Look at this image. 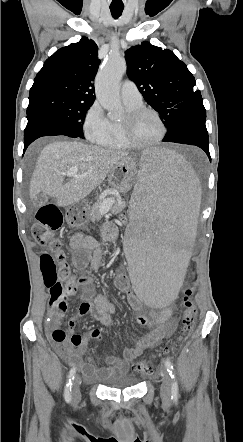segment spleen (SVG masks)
<instances>
[{
  "mask_svg": "<svg viewBox=\"0 0 243 442\" xmlns=\"http://www.w3.org/2000/svg\"><path fill=\"white\" fill-rule=\"evenodd\" d=\"M130 193L128 279L145 307H167L180 293L198 225L201 179L183 157L165 147H142Z\"/></svg>",
  "mask_w": 243,
  "mask_h": 442,
  "instance_id": "3e777b00",
  "label": "spleen"
}]
</instances>
